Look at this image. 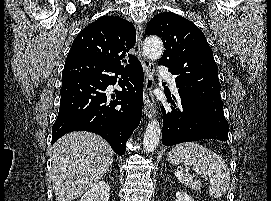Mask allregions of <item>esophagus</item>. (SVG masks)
<instances>
[{
    "instance_id": "obj_1",
    "label": "esophagus",
    "mask_w": 271,
    "mask_h": 201,
    "mask_svg": "<svg viewBox=\"0 0 271 201\" xmlns=\"http://www.w3.org/2000/svg\"><path fill=\"white\" fill-rule=\"evenodd\" d=\"M136 47L138 58L141 61L144 70V88H143V111L148 118H152L157 113L152 93L154 77L152 74V63L147 59L143 52V26L136 23Z\"/></svg>"
}]
</instances>
